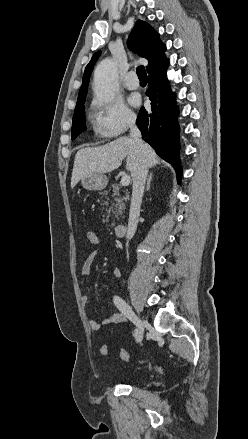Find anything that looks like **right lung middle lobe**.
I'll use <instances>...</instances> for the list:
<instances>
[{"label":"right lung middle lobe","instance_id":"obj_1","mask_svg":"<svg viewBox=\"0 0 248 439\" xmlns=\"http://www.w3.org/2000/svg\"><path fill=\"white\" fill-rule=\"evenodd\" d=\"M85 107L84 105L74 111L71 138L75 139L80 133L85 131Z\"/></svg>","mask_w":248,"mask_h":439}]
</instances>
